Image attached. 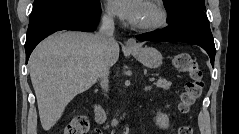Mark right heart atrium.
<instances>
[{
  "instance_id": "obj_1",
  "label": "right heart atrium",
  "mask_w": 239,
  "mask_h": 134,
  "mask_svg": "<svg viewBox=\"0 0 239 134\" xmlns=\"http://www.w3.org/2000/svg\"><path fill=\"white\" fill-rule=\"evenodd\" d=\"M105 17L108 20H113L115 18V13L109 5L106 8Z\"/></svg>"
}]
</instances>
